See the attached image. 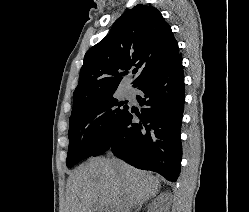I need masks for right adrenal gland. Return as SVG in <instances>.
<instances>
[{
	"mask_svg": "<svg viewBox=\"0 0 249 212\" xmlns=\"http://www.w3.org/2000/svg\"><path fill=\"white\" fill-rule=\"evenodd\" d=\"M144 204H147V202H144ZM142 206H143V204H140V206H138V208H136L135 212H140Z\"/></svg>",
	"mask_w": 249,
	"mask_h": 212,
	"instance_id": "1",
	"label": "right adrenal gland"
}]
</instances>
